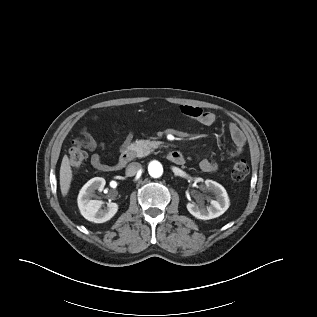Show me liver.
Segmentation results:
<instances>
[{
    "mask_svg": "<svg viewBox=\"0 0 317 317\" xmlns=\"http://www.w3.org/2000/svg\"><path fill=\"white\" fill-rule=\"evenodd\" d=\"M72 181V170L69 158L65 155L60 167V189L63 196H66Z\"/></svg>",
    "mask_w": 317,
    "mask_h": 317,
    "instance_id": "6515ba94",
    "label": "liver"
}]
</instances>
